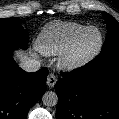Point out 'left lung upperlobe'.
Instances as JSON below:
<instances>
[{
  "instance_id": "1",
  "label": "left lung upper lobe",
  "mask_w": 119,
  "mask_h": 119,
  "mask_svg": "<svg viewBox=\"0 0 119 119\" xmlns=\"http://www.w3.org/2000/svg\"><path fill=\"white\" fill-rule=\"evenodd\" d=\"M108 33L100 54L96 57L102 64L119 57V23L109 14L103 13Z\"/></svg>"
}]
</instances>
